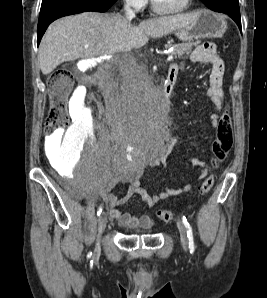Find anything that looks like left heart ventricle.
I'll list each match as a JSON object with an SVG mask.
<instances>
[{"label":"left heart ventricle","mask_w":267,"mask_h":298,"mask_svg":"<svg viewBox=\"0 0 267 298\" xmlns=\"http://www.w3.org/2000/svg\"><path fill=\"white\" fill-rule=\"evenodd\" d=\"M157 5L165 11H177L183 7L186 0H155Z\"/></svg>","instance_id":"left-heart-ventricle-1"}]
</instances>
